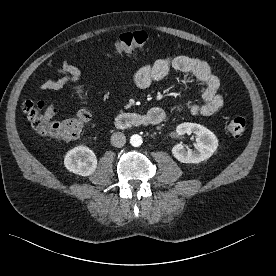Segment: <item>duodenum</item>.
I'll list each match as a JSON object with an SVG mask.
<instances>
[{"label": "duodenum", "instance_id": "410a0bca", "mask_svg": "<svg viewBox=\"0 0 276 276\" xmlns=\"http://www.w3.org/2000/svg\"><path fill=\"white\" fill-rule=\"evenodd\" d=\"M164 120V113L158 111L156 116L148 114H139L136 112H127L118 115L116 124L119 128L127 129L133 127H144L148 125H158Z\"/></svg>", "mask_w": 276, "mask_h": 276}]
</instances>
